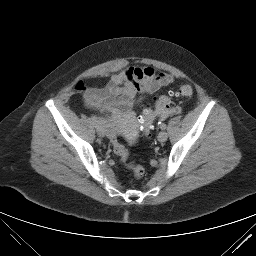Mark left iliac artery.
<instances>
[{"label": "left iliac artery", "mask_w": 256, "mask_h": 256, "mask_svg": "<svg viewBox=\"0 0 256 256\" xmlns=\"http://www.w3.org/2000/svg\"><path fill=\"white\" fill-rule=\"evenodd\" d=\"M160 128H161L162 130H165V129H166V124H164V123L160 124Z\"/></svg>", "instance_id": "obj_1"}]
</instances>
